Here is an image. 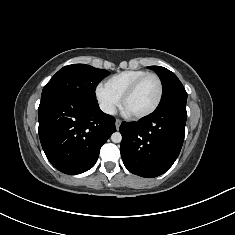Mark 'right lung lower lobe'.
Listing matches in <instances>:
<instances>
[{"mask_svg": "<svg viewBox=\"0 0 235 235\" xmlns=\"http://www.w3.org/2000/svg\"><path fill=\"white\" fill-rule=\"evenodd\" d=\"M39 138L51 162L65 174L91 169L101 146L115 132V119L103 113L97 101L72 96L41 99L38 108Z\"/></svg>", "mask_w": 235, "mask_h": 235, "instance_id": "98d812e1", "label": "right lung lower lobe"}]
</instances>
